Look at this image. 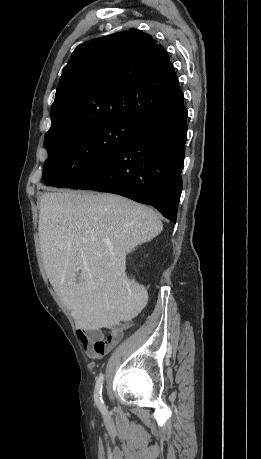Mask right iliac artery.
I'll return each instance as SVG.
<instances>
[{
    "instance_id": "1",
    "label": "right iliac artery",
    "mask_w": 261,
    "mask_h": 459,
    "mask_svg": "<svg viewBox=\"0 0 261 459\" xmlns=\"http://www.w3.org/2000/svg\"><path fill=\"white\" fill-rule=\"evenodd\" d=\"M103 380L104 376L100 375L97 382H96V387H95V393H94V399L95 402L98 406V408L102 411L105 412V405L102 400V387H103Z\"/></svg>"
}]
</instances>
